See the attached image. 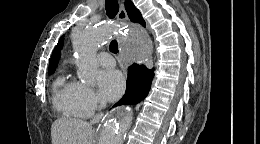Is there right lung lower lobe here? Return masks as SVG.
<instances>
[{"instance_id":"98d812e1","label":"right lung lower lobe","mask_w":260,"mask_h":144,"mask_svg":"<svg viewBox=\"0 0 260 144\" xmlns=\"http://www.w3.org/2000/svg\"><path fill=\"white\" fill-rule=\"evenodd\" d=\"M154 77V69L144 65L132 64L128 68V79L125 95L115 104H137L147 95Z\"/></svg>"}]
</instances>
